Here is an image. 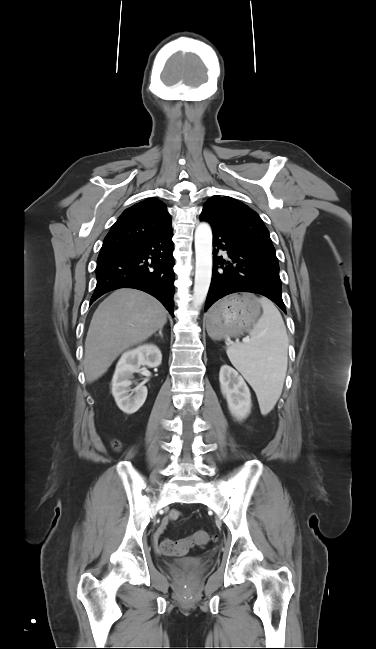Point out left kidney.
I'll return each instance as SVG.
<instances>
[{"mask_svg":"<svg viewBox=\"0 0 376 649\" xmlns=\"http://www.w3.org/2000/svg\"><path fill=\"white\" fill-rule=\"evenodd\" d=\"M219 381L230 413L237 420L246 418L251 411V393L242 376L232 367L224 365L220 369Z\"/></svg>","mask_w":376,"mask_h":649,"instance_id":"5707ae66","label":"left kidney"}]
</instances>
